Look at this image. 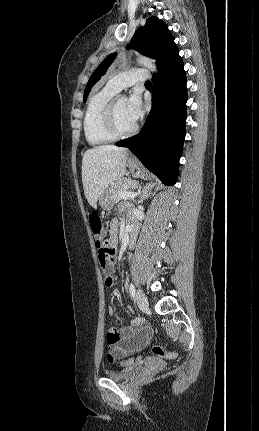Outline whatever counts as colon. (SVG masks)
<instances>
[{
	"label": "colon",
	"instance_id": "colon-1",
	"mask_svg": "<svg viewBox=\"0 0 259 431\" xmlns=\"http://www.w3.org/2000/svg\"><path fill=\"white\" fill-rule=\"evenodd\" d=\"M89 223L96 241V247L98 249V258L100 266H107L109 269L115 258V249L110 245L108 240L104 239V226L102 219L97 214L89 215ZM118 340V335L115 332H107L108 344H113ZM152 354L161 358H173L176 353L172 350L166 349L162 346H153L151 349ZM140 357L127 358L121 361L122 365H132L140 361Z\"/></svg>",
	"mask_w": 259,
	"mask_h": 431
}]
</instances>
